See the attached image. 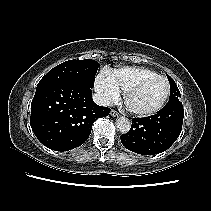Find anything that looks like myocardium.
<instances>
[{
  "instance_id": "myocardium-1",
  "label": "myocardium",
  "mask_w": 211,
  "mask_h": 211,
  "mask_svg": "<svg viewBox=\"0 0 211 211\" xmlns=\"http://www.w3.org/2000/svg\"><path fill=\"white\" fill-rule=\"evenodd\" d=\"M155 79H162L166 83L167 88H166V92H165V95L162 98V100L154 107L146 109V110H140V109L134 108L130 103L131 96L133 94H135L136 92H138L140 89H142L146 84H148L149 82H151L152 80H155ZM169 95H170V83H169L168 79L163 75L157 74L154 76L144 78L143 80L139 81L134 86L129 88L124 94V104L131 113H133L137 116H140V117H146V116L153 115V114L157 113L158 111H160L163 108V106L165 105L166 101L168 100Z\"/></svg>"
}]
</instances>
